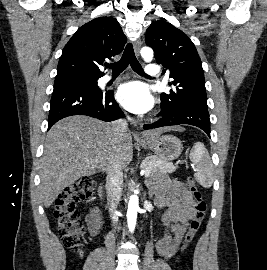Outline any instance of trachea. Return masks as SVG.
Returning <instances> with one entry per match:
<instances>
[{"label":"trachea","mask_w":267,"mask_h":270,"mask_svg":"<svg viewBox=\"0 0 267 270\" xmlns=\"http://www.w3.org/2000/svg\"><path fill=\"white\" fill-rule=\"evenodd\" d=\"M130 64L131 68L138 74L144 75V71L140 63L135 57L134 50L131 43L126 45L121 59L118 62L106 65L107 68L112 69V73L118 74L124 71Z\"/></svg>","instance_id":"1"}]
</instances>
